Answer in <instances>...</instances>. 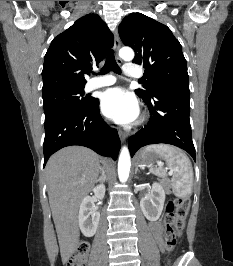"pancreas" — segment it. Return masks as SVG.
Segmentation results:
<instances>
[{
	"label": "pancreas",
	"mask_w": 233,
	"mask_h": 266,
	"mask_svg": "<svg viewBox=\"0 0 233 266\" xmlns=\"http://www.w3.org/2000/svg\"><path fill=\"white\" fill-rule=\"evenodd\" d=\"M163 183H165V184H168V182H167V181H164Z\"/></svg>",
	"instance_id": "cf45deb5"
}]
</instances>
